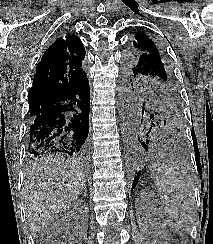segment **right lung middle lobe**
<instances>
[{"label": "right lung middle lobe", "instance_id": "dd1d6c3e", "mask_svg": "<svg viewBox=\"0 0 213 244\" xmlns=\"http://www.w3.org/2000/svg\"><path fill=\"white\" fill-rule=\"evenodd\" d=\"M40 97H47V96H38V97H34L32 99H28V102H29V110H30V114L32 112V109L34 107V103L36 102V100Z\"/></svg>", "mask_w": 213, "mask_h": 244}]
</instances>
